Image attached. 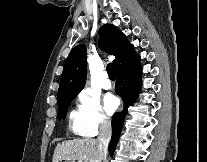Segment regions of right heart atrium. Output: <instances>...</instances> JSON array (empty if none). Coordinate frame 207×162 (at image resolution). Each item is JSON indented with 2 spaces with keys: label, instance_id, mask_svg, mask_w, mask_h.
I'll return each instance as SVG.
<instances>
[{
  "label": "right heart atrium",
  "instance_id": "d8ad5b80",
  "mask_svg": "<svg viewBox=\"0 0 207 162\" xmlns=\"http://www.w3.org/2000/svg\"><path fill=\"white\" fill-rule=\"evenodd\" d=\"M77 107L80 121V133L83 136H93L101 128L109 125L99 99L90 91H81L77 96Z\"/></svg>",
  "mask_w": 207,
  "mask_h": 162
}]
</instances>
